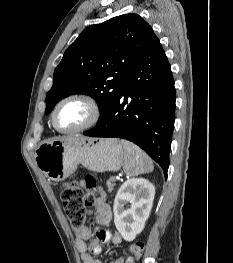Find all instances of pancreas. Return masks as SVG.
<instances>
[{"label": "pancreas", "mask_w": 233, "mask_h": 263, "mask_svg": "<svg viewBox=\"0 0 233 263\" xmlns=\"http://www.w3.org/2000/svg\"><path fill=\"white\" fill-rule=\"evenodd\" d=\"M106 185H107V188H108L109 192L113 191L114 186H115V183L113 182V180H111V179L108 180Z\"/></svg>", "instance_id": "obj_1"}]
</instances>
